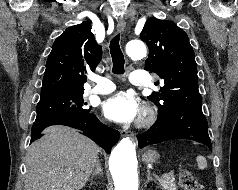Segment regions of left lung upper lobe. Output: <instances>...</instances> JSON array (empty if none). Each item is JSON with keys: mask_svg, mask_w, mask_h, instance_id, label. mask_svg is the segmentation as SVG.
<instances>
[{"mask_svg": "<svg viewBox=\"0 0 238 190\" xmlns=\"http://www.w3.org/2000/svg\"><path fill=\"white\" fill-rule=\"evenodd\" d=\"M140 38L149 48L145 70L162 79L160 93L148 97L158 112L183 105L202 106L195 54L187 34L172 21L152 17L146 21Z\"/></svg>", "mask_w": 238, "mask_h": 190, "instance_id": "left-lung-upper-lobe-1", "label": "left lung upper lobe"}]
</instances>
